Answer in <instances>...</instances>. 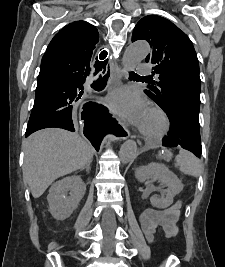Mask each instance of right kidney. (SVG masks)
Returning <instances> with one entry per match:
<instances>
[{"label":"right kidney","instance_id":"right-kidney-1","mask_svg":"<svg viewBox=\"0 0 225 267\" xmlns=\"http://www.w3.org/2000/svg\"><path fill=\"white\" fill-rule=\"evenodd\" d=\"M85 191L86 185L80 176L72 175L55 182L47 196L52 216L58 220L68 218L82 200Z\"/></svg>","mask_w":225,"mask_h":267}]
</instances>
